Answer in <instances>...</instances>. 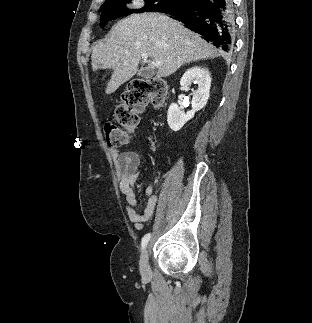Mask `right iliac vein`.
Segmentation results:
<instances>
[{"label": "right iliac vein", "mask_w": 312, "mask_h": 323, "mask_svg": "<svg viewBox=\"0 0 312 323\" xmlns=\"http://www.w3.org/2000/svg\"><path fill=\"white\" fill-rule=\"evenodd\" d=\"M149 264H148V251L145 249L140 258V272L142 276H147L149 274Z\"/></svg>", "instance_id": "obj_1"}]
</instances>
